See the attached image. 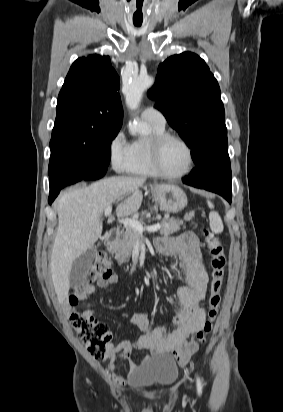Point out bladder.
Listing matches in <instances>:
<instances>
[{
  "mask_svg": "<svg viewBox=\"0 0 283 412\" xmlns=\"http://www.w3.org/2000/svg\"><path fill=\"white\" fill-rule=\"evenodd\" d=\"M178 376V367L171 357H162L138 369L129 377L131 385L141 388L166 387Z\"/></svg>",
  "mask_w": 283,
  "mask_h": 412,
  "instance_id": "1",
  "label": "bladder"
}]
</instances>
